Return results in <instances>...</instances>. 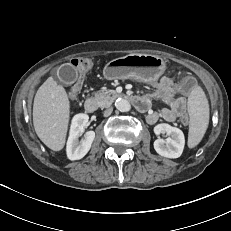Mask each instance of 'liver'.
Instances as JSON below:
<instances>
[{
    "mask_svg": "<svg viewBox=\"0 0 231 231\" xmlns=\"http://www.w3.org/2000/svg\"><path fill=\"white\" fill-rule=\"evenodd\" d=\"M70 117V101L63 86L49 77L38 89L33 104V125L51 150L63 149Z\"/></svg>",
    "mask_w": 231,
    "mask_h": 231,
    "instance_id": "liver-1",
    "label": "liver"
}]
</instances>
